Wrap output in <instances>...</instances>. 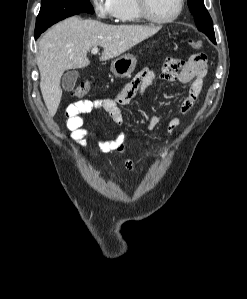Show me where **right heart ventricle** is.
<instances>
[{
    "instance_id": "obj_1",
    "label": "right heart ventricle",
    "mask_w": 247,
    "mask_h": 299,
    "mask_svg": "<svg viewBox=\"0 0 247 299\" xmlns=\"http://www.w3.org/2000/svg\"><path fill=\"white\" fill-rule=\"evenodd\" d=\"M113 17L122 23L142 22L136 0H113Z\"/></svg>"
}]
</instances>
